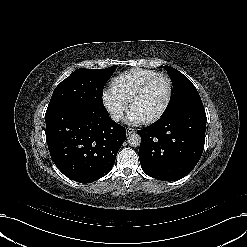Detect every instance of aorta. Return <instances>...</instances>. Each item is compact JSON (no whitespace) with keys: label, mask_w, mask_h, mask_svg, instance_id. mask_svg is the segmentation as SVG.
Instances as JSON below:
<instances>
[{"label":"aorta","mask_w":247,"mask_h":247,"mask_svg":"<svg viewBox=\"0 0 247 247\" xmlns=\"http://www.w3.org/2000/svg\"><path fill=\"white\" fill-rule=\"evenodd\" d=\"M127 142L132 147H138L141 143V137L137 133H132L128 136Z\"/></svg>","instance_id":"1"}]
</instances>
